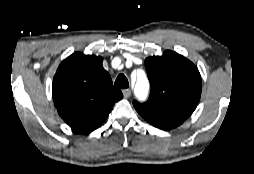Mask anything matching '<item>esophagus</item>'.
Masks as SVG:
<instances>
[{"label": "esophagus", "mask_w": 254, "mask_h": 174, "mask_svg": "<svg viewBox=\"0 0 254 174\" xmlns=\"http://www.w3.org/2000/svg\"><path fill=\"white\" fill-rule=\"evenodd\" d=\"M124 98H129L131 96V90L130 89H124L122 91Z\"/></svg>", "instance_id": "esophagus-1"}]
</instances>
